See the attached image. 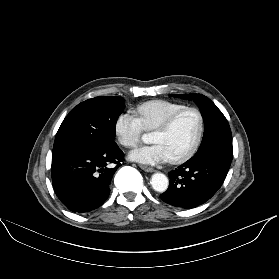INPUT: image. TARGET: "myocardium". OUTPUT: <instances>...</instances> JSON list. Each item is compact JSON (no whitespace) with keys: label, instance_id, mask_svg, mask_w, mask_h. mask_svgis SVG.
Masks as SVG:
<instances>
[{"label":"myocardium","instance_id":"f54148a6","mask_svg":"<svg viewBox=\"0 0 279 279\" xmlns=\"http://www.w3.org/2000/svg\"><path fill=\"white\" fill-rule=\"evenodd\" d=\"M188 111L195 113V115L197 116V119H198L197 133H196V136H195L191 146L184 153L170 158V161L173 163H179V162H183V161L189 159L197 150V148L201 142L203 131H204V119H203L202 113L200 112L199 109H197L195 107L185 106V107L173 112L172 114H170L160 125H158L154 129V132H158V133L167 132L170 129V127L172 126V124L174 123V121L182 113L188 112Z\"/></svg>","mask_w":279,"mask_h":279}]
</instances>
